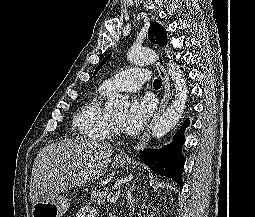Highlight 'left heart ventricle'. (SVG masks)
I'll list each match as a JSON object with an SVG mask.
<instances>
[{
    "mask_svg": "<svg viewBox=\"0 0 255 217\" xmlns=\"http://www.w3.org/2000/svg\"><path fill=\"white\" fill-rule=\"evenodd\" d=\"M124 112H118V113H113L111 114L112 118L118 123L120 124L122 118L124 117Z\"/></svg>",
    "mask_w": 255,
    "mask_h": 217,
    "instance_id": "left-heart-ventricle-1",
    "label": "left heart ventricle"
}]
</instances>
